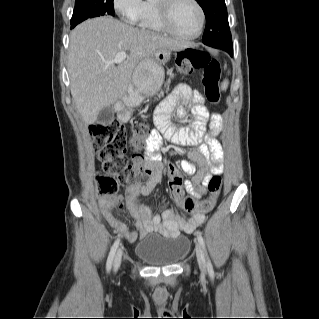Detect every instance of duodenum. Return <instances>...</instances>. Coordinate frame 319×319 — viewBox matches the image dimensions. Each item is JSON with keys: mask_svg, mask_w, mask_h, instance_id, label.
<instances>
[{"mask_svg": "<svg viewBox=\"0 0 319 319\" xmlns=\"http://www.w3.org/2000/svg\"><path fill=\"white\" fill-rule=\"evenodd\" d=\"M129 99L117 103L116 113L120 121H127L129 119Z\"/></svg>", "mask_w": 319, "mask_h": 319, "instance_id": "duodenum-1", "label": "duodenum"}]
</instances>
